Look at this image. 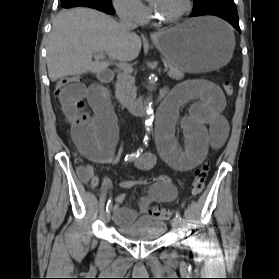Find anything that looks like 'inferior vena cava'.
Listing matches in <instances>:
<instances>
[{"mask_svg":"<svg viewBox=\"0 0 279 279\" xmlns=\"http://www.w3.org/2000/svg\"><path fill=\"white\" fill-rule=\"evenodd\" d=\"M119 27H120L121 32L124 35H128L131 33L132 30H134L137 27V25L135 23H133V21L131 19H129L128 17L121 16Z\"/></svg>","mask_w":279,"mask_h":279,"instance_id":"1","label":"inferior vena cava"}]
</instances>
